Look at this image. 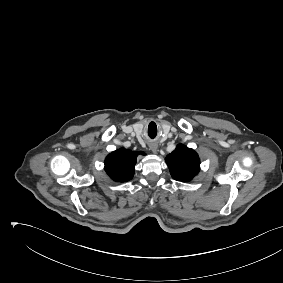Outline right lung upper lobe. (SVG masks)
<instances>
[{
  "mask_svg": "<svg viewBox=\"0 0 283 283\" xmlns=\"http://www.w3.org/2000/svg\"><path fill=\"white\" fill-rule=\"evenodd\" d=\"M139 154L145 155L142 151L135 152L124 148L118 149L106 157L105 171L114 181H129L134 175L136 157Z\"/></svg>",
  "mask_w": 283,
  "mask_h": 283,
  "instance_id": "1",
  "label": "right lung upper lobe"
}]
</instances>
